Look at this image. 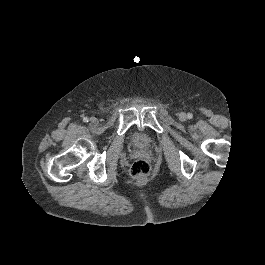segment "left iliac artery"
Instances as JSON below:
<instances>
[{
	"mask_svg": "<svg viewBox=\"0 0 265 265\" xmlns=\"http://www.w3.org/2000/svg\"><path fill=\"white\" fill-rule=\"evenodd\" d=\"M187 117H188L189 119H192V118H193V114H192V113H188V114H187Z\"/></svg>",
	"mask_w": 265,
	"mask_h": 265,
	"instance_id": "left-iliac-artery-1",
	"label": "left iliac artery"
}]
</instances>
